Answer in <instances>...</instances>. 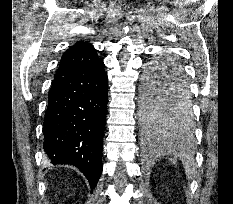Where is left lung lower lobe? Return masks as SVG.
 <instances>
[{
	"instance_id": "obj_1",
	"label": "left lung lower lobe",
	"mask_w": 233,
	"mask_h": 204,
	"mask_svg": "<svg viewBox=\"0 0 233 204\" xmlns=\"http://www.w3.org/2000/svg\"><path fill=\"white\" fill-rule=\"evenodd\" d=\"M159 84H162L166 87H169L171 90H176L179 83L186 82V78L182 73H176L172 70L163 73L161 79H158ZM144 130L147 133H153L157 131L170 132L177 131L175 129L164 128V127H156L152 125L144 124Z\"/></svg>"
}]
</instances>
